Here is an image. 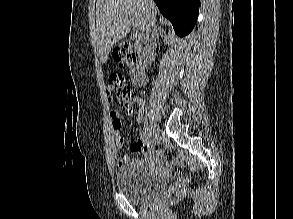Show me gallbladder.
Instances as JSON below:
<instances>
[{
	"label": "gallbladder",
	"instance_id": "bac80fb5",
	"mask_svg": "<svg viewBox=\"0 0 293 219\" xmlns=\"http://www.w3.org/2000/svg\"><path fill=\"white\" fill-rule=\"evenodd\" d=\"M134 38H135V36H134V35L130 37V39H132V40H133Z\"/></svg>",
	"mask_w": 293,
	"mask_h": 219
}]
</instances>
